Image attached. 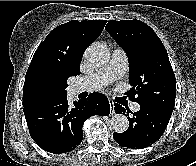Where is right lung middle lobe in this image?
Listing matches in <instances>:
<instances>
[{
    "instance_id": "dd1d6c3e",
    "label": "right lung middle lobe",
    "mask_w": 196,
    "mask_h": 166,
    "mask_svg": "<svg viewBox=\"0 0 196 166\" xmlns=\"http://www.w3.org/2000/svg\"><path fill=\"white\" fill-rule=\"evenodd\" d=\"M67 85H58L46 78H38L29 91V101L32 104H39L66 95Z\"/></svg>"
}]
</instances>
